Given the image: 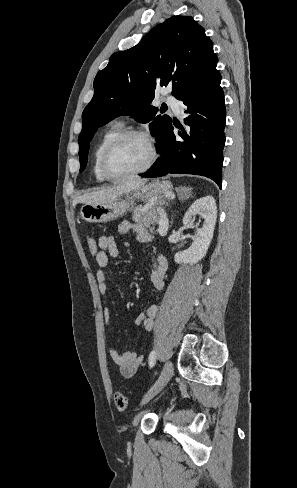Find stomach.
<instances>
[{"mask_svg":"<svg viewBox=\"0 0 297 488\" xmlns=\"http://www.w3.org/2000/svg\"><path fill=\"white\" fill-rule=\"evenodd\" d=\"M172 189L170 181H154L125 193V198H118L110 203L84 204L80 209L81 217L90 223H106L122 216L134 203V200H157Z\"/></svg>","mask_w":297,"mask_h":488,"instance_id":"1","label":"stomach"}]
</instances>
